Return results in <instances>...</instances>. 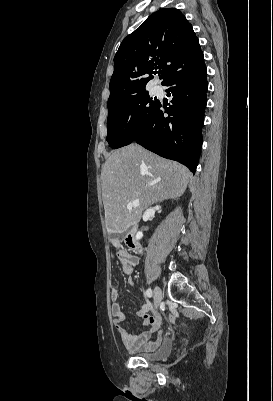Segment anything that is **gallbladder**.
<instances>
[{
  "label": "gallbladder",
  "instance_id": "obj_1",
  "mask_svg": "<svg viewBox=\"0 0 273 401\" xmlns=\"http://www.w3.org/2000/svg\"><path fill=\"white\" fill-rule=\"evenodd\" d=\"M111 239H121V235H118V233H112V235H110Z\"/></svg>",
  "mask_w": 273,
  "mask_h": 401
}]
</instances>
